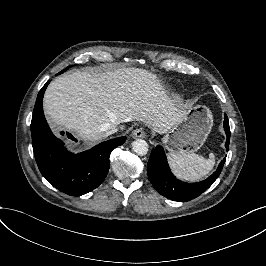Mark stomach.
Returning <instances> with one entry per match:
<instances>
[{"instance_id": "obj_1", "label": "stomach", "mask_w": 266, "mask_h": 266, "mask_svg": "<svg viewBox=\"0 0 266 266\" xmlns=\"http://www.w3.org/2000/svg\"><path fill=\"white\" fill-rule=\"evenodd\" d=\"M213 126L211 110L196 105L187 111L183 121L172 127L162 138L169 152L190 154L198 151L206 141Z\"/></svg>"}]
</instances>
